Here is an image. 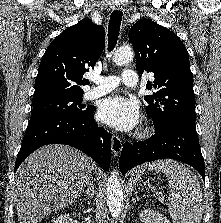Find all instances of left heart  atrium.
<instances>
[{
	"mask_svg": "<svg viewBox=\"0 0 221 223\" xmlns=\"http://www.w3.org/2000/svg\"><path fill=\"white\" fill-rule=\"evenodd\" d=\"M139 107L132 101L122 96H111L99 106L97 118L99 121L119 131H130L139 122Z\"/></svg>",
	"mask_w": 221,
	"mask_h": 223,
	"instance_id": "obj_1",
	"label": "left heart atrium"
}]
</instances>
